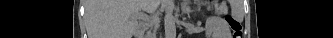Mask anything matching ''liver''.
<instances>
[{
  "label": "liver",
  "instance_id": "obj_1",
  "mask_svg": "<svg viewBox=\"0 0 333 38\" xmlns=\"http://www.w3.org/2000/svg\"><path fill=\"white\" fill-rule=\"evenodd\" d=\"M160 0H87L88 38H132L141 10L154 13Z\"/></svg>",
  "mask_w": 333,
  "mask_h": 38
}]
</instances>
